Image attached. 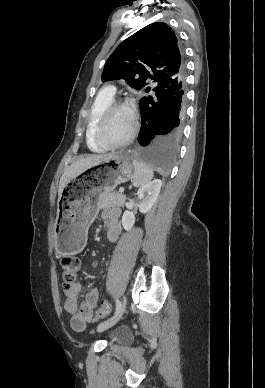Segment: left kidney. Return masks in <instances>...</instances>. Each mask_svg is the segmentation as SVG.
<instances>
[{
    "instance_id": "left-kidney-1",
    "label": "left kidney",
    "mask_w": 265,
    "mask_h": 388,
    "mask_svg": "<svg viewBox=\"0 0 265 388\" xmlns=\"http://www.w3.org/2000/svg\"><path fill=\"white\" fill-rule=\"evenodd\" d=\"M162 182L161 180H153L149 184H145L142 188H139L138 194V208L141 214H146L154 206L161 190ZM135 224V216L133 212H124L122 216V226L124 230H131L132 226Z\"/></svg>"
}]
</instances>
